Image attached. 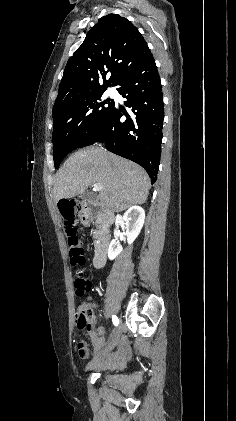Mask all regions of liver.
Masks as SVG:
<instances>
[{
    "label": "liver",
    "mask_w": 236,
    "mask_h": 421,
    "mask_svg": "<svg viewBox=\"0 0 236 421\" xmlns=\"http://www.w3.org/2000/svg\"><path fill=\"white\" fill-rule=\"evenodd\" d=\"M53 182L55 200L72 198L84 192L89 184L98 182L102 186L98 194L100 204L112 213L145 202L151 186L142 166L100 146L73 152L57 170Z\"/></svg>",
    "instance_id": "1"
}]
</instances>
